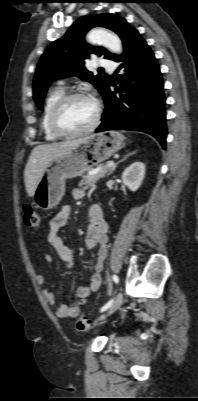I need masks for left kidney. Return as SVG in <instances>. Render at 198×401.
Segmentation results:
<instances>
[{"mask_svg": "<svg viewBox=\"0 0 198 401\" xmlns=\"http://www.w3.org/2000/svg\"><path fill=\"white\" fill-rule=\"evenodd\" d=\"M144 176L145 165L142 162H134L124 170L122 180L123 183L134 192L141 186Z\"/></svg>", "mask_w": 198, "mask_h": 401, "instance_id": "obj_1", "label": "left kidney"}]
</instances>
